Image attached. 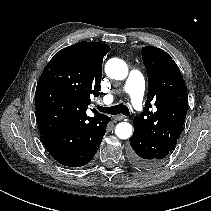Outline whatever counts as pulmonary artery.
<instances>
[{"label": "pulmonary artery", "mask_w": 211, "mask_h": 211, "mask_svg": "<svg viewBox=\"0 0 211 211\" xmlns=\"http://www.w3.org/2000/svg\"><path fill=\"white\" fill-rule=\"evenodd\" d=\"M125 91L130 95L132 105L135 110L141 111L143 107V96L145 91V81L138 71H131L125 82ZM113 95L104 96L103 102L110 104L113 102Z\"/></svg>", "instance_id": "pulmonary-artery-1"}]
</instances>
